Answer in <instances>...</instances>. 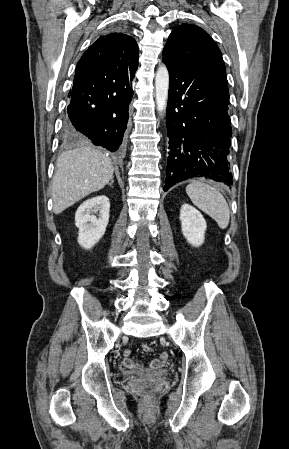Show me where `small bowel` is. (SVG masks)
<instances>
[{
    "instance_id": "obj_1",
    "label": "small bowel",
    "mask_w": 289,
    "mask_h": 449,
    "mask_svg": "<svg viewBox=\"0 0 289 449\" xmlns=\"http://www.w3.org/2000/svg\"><path fill=\"white\" fill-rule=\"evenodd\" d=\"M169 355L166 354L165 352L163 354H161L160 358L157 359H153L150 364H149V368L151 369H164L167 366V361L169 360ZM123 366L127 369H142L143 365L141 363L135 362L132 358H131V352L129 350L124 351V358H123V362H122Z\"/></svg>"
}]
</instances>
